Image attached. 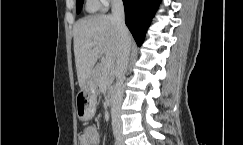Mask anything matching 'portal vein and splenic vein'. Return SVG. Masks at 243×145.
I'll list each match as a JSON object with an SVG mask.
<instances>
[{
    "label": "portal vein and splenic vein",
    "mask_w": 243,
    "mask_h": 145,
    "mask_svg": "<svg viewBox=\"0 0 243 145\" xmlns=\"http://www.w3.org/2000/svg\"><path fill=\"white\" fill-rule=\"evenodd\" d=\"M95 43H91L89 47H92ZM105 63L107 66H111L114 64V59L111 55H106L105 57Z\"/></svg>",
    "instance_id": "portal-vein-and-splenic-vein-1"
}]
</instances>
